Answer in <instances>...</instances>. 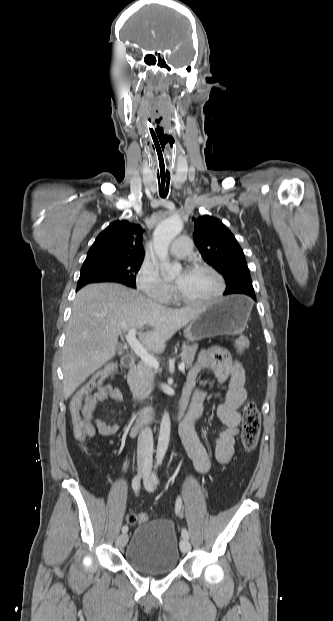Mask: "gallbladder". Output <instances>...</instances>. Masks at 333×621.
I'll use <instances>...</instances> for the list:
<instances>
[{
    "label": "gallbladder",
    "instance_id": "1",
    "mask_svg": "<svg viewBox=\"0 0 333 621\" xmlns=\"http://www.w3.org/2000/svg\"><path fill=\"white\" fill-rule=\"evenodd\" d=\"M117 351L120 354L123 351V347L121 345L117 346Z\"/></svg>",
    "mask_w": 333,
    "mask_h": 621
}]
</instances>
